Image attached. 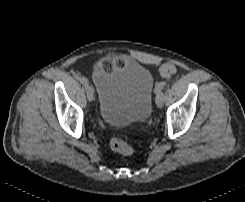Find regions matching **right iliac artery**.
<instances>
[{
  "instance_id": "right-iliac-artery-1",
  "label": "right iliac artery",
  "mask_w": 245,
  "mask_h": 202,
  "mask_svg": "<svg viewBox=\"0 0 245 202\" xmlns=\"http://www.w3.org/2000/svg\"><path fill=\"white\" fill-rule=\"evenodd\" d=\"M80 81H81V83L84 84V85H87V84H88V80H87L85 77H81V78H80Z\"/></svg>"
}]
</instances>
